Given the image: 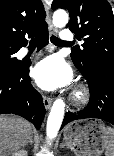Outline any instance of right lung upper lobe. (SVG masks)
Here are the masks:
<instances>
[{
    "instance_id": "obj_1",
    "label": "right lung upper lobe",
    "mask_w": 114,
    "mask_h": 156,
    "mask_svg": "<svg viewBox=\"0 0 114 156\" xmlns=\"http://www.w3.org/2000/svg\"><path fill=\"white\" fill-rule=\"evenodd\" d=\"M41 0H0V47L18 48L47 27Z\"/></svg>"
}]
</instances>
